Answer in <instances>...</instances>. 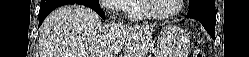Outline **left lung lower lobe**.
<instances>
[{"mask_svg": "<svg viewBox=\"0 0 249 57\" xmlns=\"http://www.w3.org/2000/svg\"><path fill=\"white\" fill-rule=\"evenodd\" d=\"M187 18H193L201 22L206 31L215 40L216 12L215 6H205L192 12H188Z\"/></svg>", "mask_w": 249, "mask_h": 57, "instance_id": "left-lung-lower-lobe-1", "label": "left lung lower lobe"}]
</instances>
